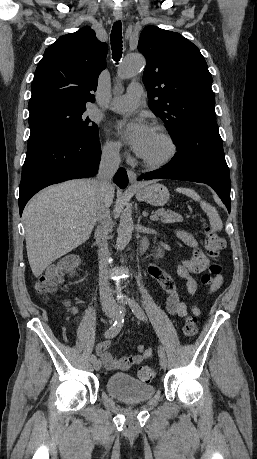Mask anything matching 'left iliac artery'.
Returning a JSON list of instances; mask_svg holds the SVG:
<instances>
[{"mask_svg":"<svg viewBox=\"0 0 257 459\" xmlns=\"http://www.w3.org/2000/svg\"><path fill=\"white\" fill-rule=\"evenodd\" d=\"M130 307L132 309V312L134 313V315L140 319V320H145V313L144 311L142 310V308L139 306V304L135 301H131L130 303ZM158 355L160 357L162 356H165V351H164V348L162 346H159L158 347Z\"/></svg>","mask_w":257,"mask_h":459,"instance_id":"left-iliac-artery-1","label":"left iliac artery"}]
</instances>
